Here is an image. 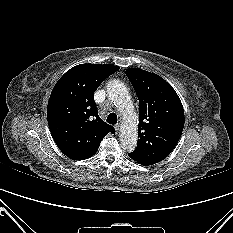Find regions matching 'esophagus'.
<instances>
[{
	"instance_id": "34e87169",
	"label": "esophagus",
	"mask_w": 233,
	"mask_h": 233,
	"mask_svg": "<svg viewBox=\"0 0 233 233\" xmlns=\"http://www.w3.org/2000/svg\"><path fill=\"white\" fill-rule=\"evenodd\" d=\"M120 127H121V124H120V123H117V124L115 125V130H116V132H119V131H120Z\"/></svg>"
}]
</instances>
